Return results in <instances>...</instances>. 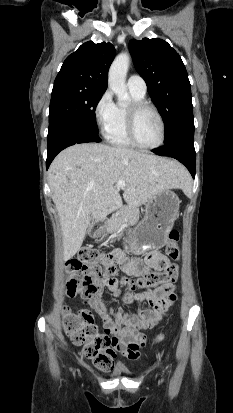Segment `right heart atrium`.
<instances>
[{
	"mask_svg": "<svg viewBox=\"0 0 233 413\" xmlns=\"http://www.w3.org/2000/svg\"><path fill=\"white\" fill-rule=\"evenodd\" d=\"M115 109L112 93L106 90L96 101L93 110L95 121L104 134L113 121Z\"/></svg>",
	"mask_w": 233,
	"mask_h": 413,
	"instance_id": "right-heart-atrium-1",
	"label": "right heart atrium"
}]
</instances>
